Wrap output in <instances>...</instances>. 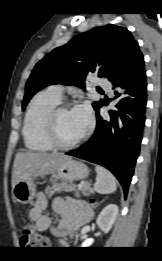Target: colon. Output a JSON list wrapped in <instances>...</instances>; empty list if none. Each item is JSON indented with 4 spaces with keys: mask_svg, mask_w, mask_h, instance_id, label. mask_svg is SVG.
Listing matches in <instances>:
<instances>
[{
    "mask_svg": "<svg viewBox=\"0 0 162 261\" xmlns=\"http://www.w3.org/2000/svg\"><path fill=\"white\" fill-rule=\"evenodd\" d=\"M20 244L24 248H42L47 246V240L32 225H26L21 231Z\"/></svg>",
    "mask_w": 162,
    "mask_h": 261,
    "instance_id": "5ec220e1",
    "label": "colon"
}]
</instances>
